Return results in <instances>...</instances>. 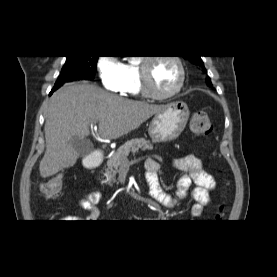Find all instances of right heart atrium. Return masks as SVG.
Returning a JSON list of instances; mask_svg holds the SVG:
<instances>
[{
    "mask_svg": "<svg viewBox=\"0 0 277 277\" xmlns=\"http://www.w3.org/2000/svg\"><path fill=\"white\" fill-rule=\"evenodd\" d=\"M97 70L103 87L112 92H124L126 85L125 65L115 55L98 58Z\"/></svg>",
    "mask_w": 277,
    "mask_h": 277,
    "instance_id": "1",
    "label": "right heart atrium"
}]
</instances>
